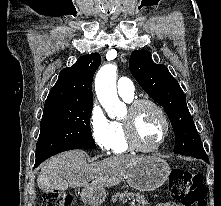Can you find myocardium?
Returning <instances> with one entry per match:
<instances>
[{
  "label": "myocardium",
  "instance_id": "myocardium-1",
  "mask_svg": "<svg viewBox=\"0 0 221 206\" xmlns=\"http://www.w3.org/2000/svg\"><path fill=\"white\" fill-rule=\"evenodd\" d=\"M144 105L153 107L158 112L163 122L162 135L160 139L158 140V142L151 147H145L141 145L140 142L138 141L136 131H135L134 113L137 109H139L140 107ZM128 112H129V116L125 118L122 121V123L124 126L126 139L130 148L134 151L142 152V153H151V152L158 150L166 141L169 135V131H170V123L163 108L154 100L143 98V99H137V100L132 101L128 107Z\"/></svg>",
  "mask_w": 221,
  "mask_h": 206
}]
</instances>
